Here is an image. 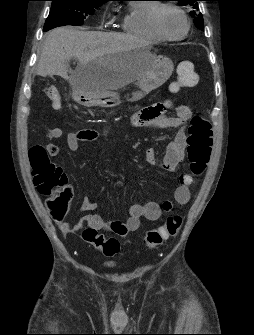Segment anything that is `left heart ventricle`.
<instances>
[{"instance_id": "left-heart-ventricle-1", "label": "left heart ventricle", "mask_w": 254, "mask_h": 335, "mask_svg": "<svg viewBox=\"0 0 254 335\" xmlns=\"http://www.w3.org/2000/svg\"><path fill=\"white\" fill-rule=\"evenodd\" d=\"M160 27L166 35L176 37L184 32L185 23L178 12L164 9L160 14Z\"/></svg>"}]
</instances>
